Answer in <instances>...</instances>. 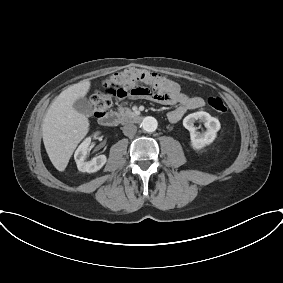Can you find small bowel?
I'll use <instances>...</instances> for the list:
<instances>
[{"label": "small bowel", "mask_w": 283, "mask_h": 283, "mask_svg": "<svg viewBox=\"0 0 283 283\" xmlns=\"http://www.w3.org/2000/svg\"><path fill=\"white\" fill-rule=\"evenodd\" d=\"M171 83H172V91L168 93L167 99L163 101L158 100L154 97H148L147 99L158 102V103H162V104H169V105L177 104L178 106L174 110L168 113L169 121L172 123H176L184 116V114L187 111L202 107L204 105V101L200 97L189 96L183 93L181 91L180 86L176 82L171 80ZM127 97L139 98V97H135L132 95H129Z\"/></svg>", "instance_id": "obj_1"}]
</instances>
